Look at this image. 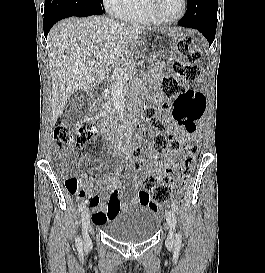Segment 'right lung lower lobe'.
<instances>
[{"instance_id":"right-lung-lower-lobe-1","label":"right lung lower lobe","mask_w":265,"mask_h":273,"mask_svg":"<svg viewBox=\"0 0 265 273\" xmlns=\"http://www.w3.org/2000/svg\"><path fill=\"white\" fill-rule=\"evenodd\" d=\"M71 15L68 14H58L49 18H44V35L47 38L48 32L50 31L51 27L59 20L63 18L70 17Z\"/></svg>"}]
</instances>
